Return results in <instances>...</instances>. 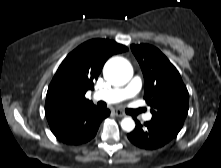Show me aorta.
Here are the masks:
<instances>
[{"label":"aorta","mask_w":221,"mask_h":168,"mask_svg":"<svg viewBox=\"0 0 221 168\" xmlns=\"http://www.w3.org/2000/svg\"><path fill=\"white\" fill-rule=\"evenodd\" d=\"M103 74L106 80L116 86H123L130 81L133 69L129 61L122 57H113L104 66ZM121 127L126 132L135 128V122L131 117H125L121 121Z\"/></svg>","instance_id":"aorta-1"}]
</instances>
